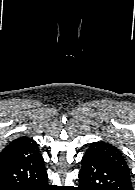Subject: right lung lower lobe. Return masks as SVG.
<instances>
[{"mask_svg":"<svg viewBox=\"0 0 135 190\" xmlns=\"http://www.w3.org/2000/svg\"><path fill=\"white\" fill-rule=\"evenodd\" d=\"M39 154L0 162V190H52Z\"/></svg>","mask_w":135,"mask_h":190,"instance_id":"right-lung-lower-lobe-1","label":"right lung lower lobe"}]
</instances>
